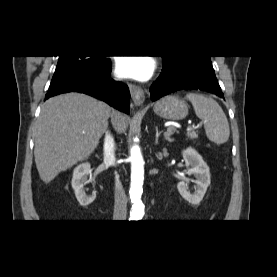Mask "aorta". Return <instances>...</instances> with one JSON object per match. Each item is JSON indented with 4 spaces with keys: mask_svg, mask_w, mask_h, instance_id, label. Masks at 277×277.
I'll return each mask as SVG.
<instances>
[{
    "mask_svg": "<svg viewBox=\"0 0 277 277\" xmlns=\"http://www.w3.org/2000/svg\"><path fill=\"white\" fill-rule=\"evenodd\" d=\"M131 161V185L130 199L132 202V210L130 212L131 219L138 220L144 215V205L141 201L144 181V160L138 145L132 146L130 150Z\"/></svg>",
    "mask_w": 277,
    "mask_h": 277,
    "instance_id": "762f6f07",
    "label": "aorta"
}]
</instances>
